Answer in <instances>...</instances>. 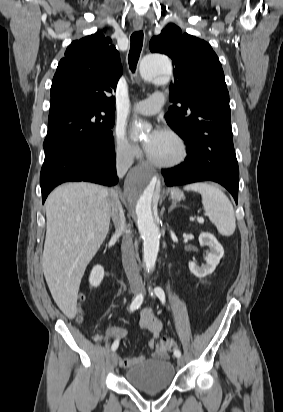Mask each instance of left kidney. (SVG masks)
<instances>
[{"mask_svg":"<svg viewBox=\"0 0 283 412\" xmlns=\"http://www.w3.org/2000/svg\"><path fill=\"white\" fill-rule=\"evenodd\" d=\"M199 242L203 245H207L210 249L206 259V264L199 267L196 263L189 262L188 266L190 271L196 277L201 278L214 272L216 266L220 262V259L224 255V249L217 239L210 233H201L199 235Z\"/></svg>","mask_w":283,"mask_h":412,"instance_id":"5707ae66","label":"left kidney"}]
</instances>
